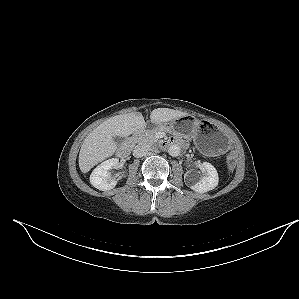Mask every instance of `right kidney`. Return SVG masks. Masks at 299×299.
Masks as SVG:
<instances>
[{
	"label": "right kidney",
	"instance_id": "right-kidney-1",
	"mask_svg": "<svg viewBox=\"0 0 299 299\" xmlns=\"http://www.w3.org/2000/svg\"><path fill=\"white\" fill-rule=\"evenodd\" d=\"M119 164V159L112 158L98 165L90 175V183L101 191L113 189L117 181L112 179L109 171Z\"/></svg>",
	"mask_w": 299,
	"mask_h": 299
}]
</instances>
